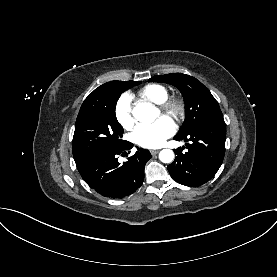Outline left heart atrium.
<instances>
[{"mask_svg": "<svg viewBox=\"0 0 277 277\" xmlns=\"http://www.w3.org/2000/svg\"><path fill=\"white\" fill-rule=\"evenodd\" d=\"M174 133V123L166 117H161L151 124L138 126L132 134V139L141 147L156 148L160 147Z\"/></svg>", "mask_w": 277, "mask_h": 277, "instance_id": "39dd6f15", "label": "left heart atrium"}]
</instances>
